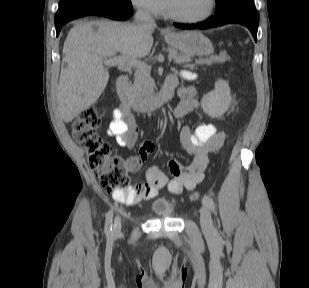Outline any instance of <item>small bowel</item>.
Returning <instances> with one entry per match:
<instances>
[{"label": "small bowel", "mask_w": 309, "mask_h": 288, "mask_svg": "<svg viewBox=\"0 0 309 288\" xmlns=\"http://www.w3.org/2000/svg\"><path fill=\"white\" fill-rule=\"evenodd\" d=\"M174 85L178 83L176 76H170L167 81ZM181 102L175 109V116L182 118L199 106L196 91L186 87L180 89ZM139 129L135 117L127 107H119L113 110V118L108 125L107 134L116 139L117 143L129 149L135 147ZM225 140V133L218 131L213 124L203 123L194 130L183 126L180 131V142L183 149L192 160L184 163L179 159H171L168 163L172 179L169 180L162 170L156 166L148 169L146 183H139L124 192H115L113 198L122 204H134L141 200H149L157 196L159 191L168 186L172 193L179 194L182 191L193 190L204 178V172L208 164V155L218 151ZM154 151V144H143L137 155L130 156L126 160V167L130 172L137 171L148 155Z\"/></svg>", "instance_id": "c3829d8e"}]
</instances>
